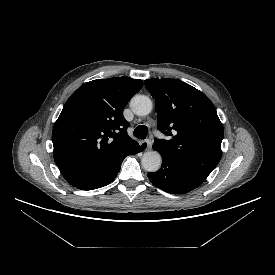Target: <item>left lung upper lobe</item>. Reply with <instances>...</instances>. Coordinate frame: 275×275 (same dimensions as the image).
Returning <instances> with one entry per match:
<instances>
[{"instance_id": "left-lung-upper-lobe-1", "label": "left lung upper lobe", "mask_w": 275, "mask_h": 275, "mask_svg": "<svg viewBox=\"0 0 275 275\" xmlns=\"http://www.w3.org/2000/svg\"><path fill=\"white\" fill-rule=\"evenodd\" d=\"M144 83L156 102L157 127L169 136L156 139L153 149L208 177L221 159L224 136L213 103L181 80L155 78Z\"/></svg>"}]
</instances>
